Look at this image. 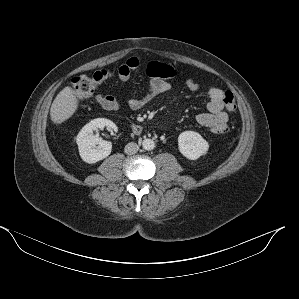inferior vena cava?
Instances as JSON below:
<instances>
[{
    "mask_svg": "<svg viewBox=\"0 0 299 299\" xmlns=\"http://www.w3.org/2000/svg\"><path fill=\"white\" fill-rule=\"evenodd\" d=\"M138 150L139 146L134 142L128 143L124 149L125 153L129 155L135 154Z\"/></svg>",
    "mask_w": 299,
    "mask_h": 299,
    "instance_id": "inferior-vena-cava-1",
    "label": "inferior vena cava"
}]
</instances>
